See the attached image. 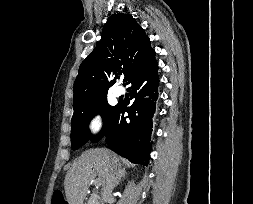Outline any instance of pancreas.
I'll return each mask as SVG.
<instances>
[{
    "label": "pancreas",
    "mask_w": 253,
    "mask_h": 204,
    "mask_svg": "<svg viewBox=\"0 0 253 204\" xmlns=\"http://www.w3.org/2000/svg\"><path fill=\"white\" fill-rule=\"evenodd\" d=\"M87 204H100V201L97 196L92 195Z\"/></svg>",
    "instance_id": "pancreas-1"
}]
</instances>
